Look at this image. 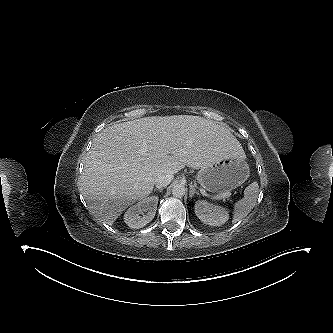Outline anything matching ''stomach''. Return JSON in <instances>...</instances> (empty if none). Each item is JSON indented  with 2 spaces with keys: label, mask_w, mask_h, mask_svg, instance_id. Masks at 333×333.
I'll return each mask as SVG.
<instances>
[{
  "label": "stomach",
  "mask_w": 333,
  "mask_h": 333,
  "mask_svg": "<svg viewBox=\"0 0 333 333\" xmlns=\"http://www.w3.org/2000/svg\"><path fill=\"white\" fill-rule=\"evenodd\" d=\"M249 175L250 169L245 159L227 158L201 168L197 181L210 192H223L239 187Z\"/></svg>",
  "instance_id": "0dacf381"
}]
</instances>
